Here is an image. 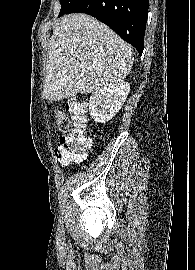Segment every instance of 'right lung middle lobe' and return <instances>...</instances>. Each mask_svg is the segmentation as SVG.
Returning a JSON list of instances; mask_svg holds the SVG:
<instances>
[{"label": "right lung middle lobe", "instance_id": "1", "mask_svg": "<svg viewBox=\"0 0 195 270\" xmlns=\"http://www.w3.org/2000/svg\"><path fill=\"white\" fill-rule=\"evenodd\" d=\"M75 1L76 0H60L61 10L59 16L66 14Z\"/></svg>", "mask_w": 195, "mask_h": 270}]
</instances>
